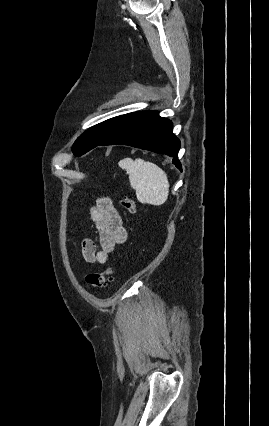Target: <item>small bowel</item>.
<instances>
[{"instance_id":"1","label":"small bowel","mask_w":269,"mask_h":426,"mask_svg":"<svg viewBox=\"0 0 269 426\" xmlns=\"http://www.w3.org/2000/svg\"><path fill=\"white\" fill-rule=\"evenodd\" d=\"M91 220L98 233L99 250L91 239L81 243L82 257L87 263L104 264L115 249L127 239L122 217L108 197H99L90 210Z\"/></svg>"}]
</instances>
